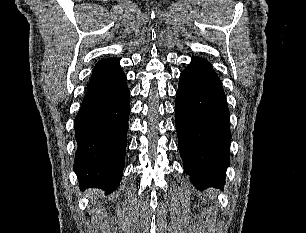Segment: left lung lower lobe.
I'll list each match as a JSON object with an SVG mask.
<instances>
[{
  "label": "left lung lower lobe",
  "instance_id": "1",
  "mask_svg": "<svg viewBox=\"0 0 306 233\" xmlns=\"http://www.w3.org/2000/svg\"><path fill=\"white\" fill-rule=\"evenodd\" d=\"M178 147L183 167L198 189L223 188L230 164L229 110L211 64L192 57L180 74L175 102Z\"/></svg>",
  "mask_w": 306,
  "mask_h": 233
}]
</instances>
